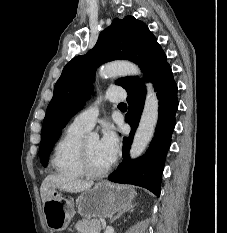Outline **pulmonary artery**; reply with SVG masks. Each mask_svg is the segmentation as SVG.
Instances as JSON below:
<instances>
[{
    "label": "pulmonary artery",
    "instance_id": "1",
    "mask_svg": "<svg viewBox=\"0 0 227 233\" xmlns=\"http://www.w3.org/2000/svg\"><path fill=\"white\" fill-rule=\"evenodd\" d=\"M124 99V92L122 90H108L104 96L98 98L92 105L80 112L73 120L72 126L84 131L90 130L99 115V105L102 101L108 100L117 102Z\"/></svg>",
    "mask_w": 227,
    "mask_h": 233
}]
</instances>
